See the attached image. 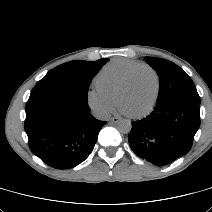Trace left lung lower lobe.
I'll list each match as a JSON object with an SVG mask.
<instances>
[{
	"mask_svg": "<svg viewBox=\"0 0 212 212\" xmlns=\"http://www.w3.org/2000/svg\"><path fill=\"white\" fill-rule=\"evenodd\" d=\"M199 126V104L171 100L157 104L146 118L133 121L128 141L138 157L164 166L189 152Z\"/></svg>",
	"mask_w": 212,
	"mask_h": 212,
	"instance_id": "1",
	"label": "left lung lower lobe"
}]
</instances>
